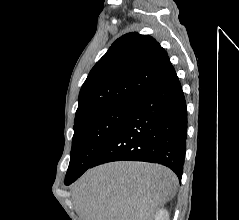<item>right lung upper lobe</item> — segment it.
Segmentation results:
<instances>
[{"label": "right lung upper lobe", "instance_id": "obj_1", "mask_svg": "<svg viewBox=\"0 0 239 220\" xmlns=\"http://www.w3.org/2000/svg\"><path fill=\"white\" fill-rule=\"evenodd\" d=\"M173 72L167 53L155 39L138 33L123 35L82 85L75 121L112 106L131 104Z\"/></svg>", "mask_w": 239, "mask_h": 220}]
</instances>
